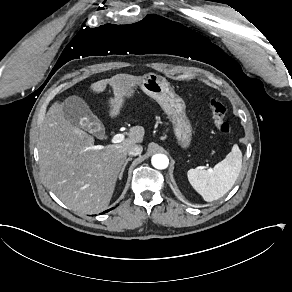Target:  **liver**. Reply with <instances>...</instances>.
I'll return each mask as SVG.
<instances>
[{"label": "liver", "instance_id": "obj_1", "mask_svg": "<svg viewBox=\"0 0 292 292\" xmlns=\"http://www.w3.org/2000/svg\"><path fill=\"white\" fill-rule=\"evenodd\" d=\"M143 79L118 74L110 79L88 85L94 95L105 92L107 85L113 98L106 99V108L120 116L127 106L131 90ZM63 102L56 100L42 122L38 152L41 172L47 187L71 210L83 214H96L107 209L116 184L127 163L128 151L141 144L145 128L129 129L119 144L94 146V137L72 124L62 110ZM133 122L136 118L130 117Z\"/></svg>", "mask_w": 292, "mask_h": 292}]
</instances>
